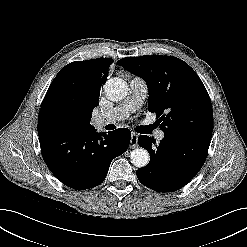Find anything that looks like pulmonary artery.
Here are the masks:
<instances>
[{
	"instance_id": "obj_1",
	"label": "pulmonary artery",
	"mask_w": 247,
	"mask_h": 247,
	"mask_svg": "<svg viewBox=\"0 0 247 247\" xmlns=\"http://www.w3.org/2000/svg\"><path fill=\"white\" fill-rule=\"evenodd\" d=\"M146 93L147 85L145 80L140 77L132 78L129 82V91L127 97L115 108L95 117V126L103 127L105 125L124 120L132 112L139 109L146 98ZM155 138L157 140H162L164 138V132L161 130L156 131Z\"/></svg>"
}]
</instances>
